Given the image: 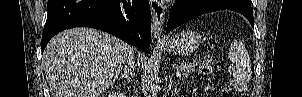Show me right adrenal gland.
<instances>
[{
	"instance_id": "1",
	"label": "right adrenal gland",
	"mask_w": 302,
	"mask_h": 97,
	"mask_svg": "<svg viewBox=\"0 0 302 97\" xmlns=\"http://www.w3.org/2000/svg\"><path fill=\"white\" fill-rule=\"evenodd\" d=\"M119 79H126L127 81H130V69L127 66H125L124 74H121Z\"/></svg>"
}]
</instances>
